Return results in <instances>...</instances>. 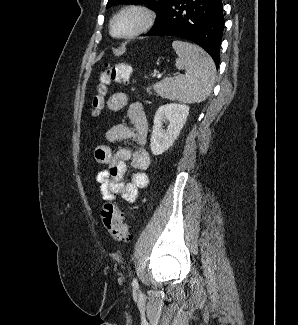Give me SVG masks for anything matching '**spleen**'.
Returning <instances> with one entry per match:
<instances>
[{
  "label": "spleen",
  "instance_id": "obj_1",
  "mask_svg": "<svg viewBox=\"0 0 298 325\" xmlns=\"http://www.w3.org/2000/svg\"><path fill=\"white\" fill-rule=\"evenodd\" d=\"M172 46L178 56L175 66L186 70L185 74L167 76L153 84L158 96L180 100V102H202L208 98L215 82L213 58L197 44L173 40Z\"/></svg>",
  "mask_w": 298,
  "mask_h": 325
}]
</instances>
